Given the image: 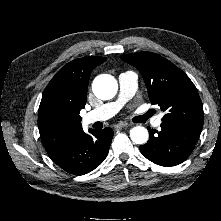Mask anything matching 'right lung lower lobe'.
Wrapping results in <instances>:
<instances>
[{"label":"right lung lower lobe","instance_id":"right-lung-lower-lobe-1","mask_svg":"<svg viewBox=\"0 0 221 221\" xmlns=\"http://www.w3.org/2000/svg\"><path fill=\"white\" fill-rule=\"evenodd\" d=\"M82 131L66 141L49 155L63 170L74 175H83L99 166L106 158L113 137V130Z\"/></svg>","mask_w":221,"mask_h":221}]
</instances>
